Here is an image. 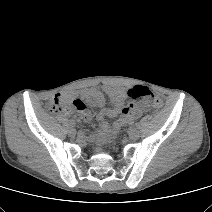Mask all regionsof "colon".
<instances>
[{"label": "colon", "instance_id": "5ec220e1", "mask_svg": "<svg viewBox=\"0 0 212 212\" xmlns=\"http://www.w3.org/2000/svg\"><path fill=\"white\" fill-rule=\"evenodd\" d=\"M128 96L132 99H143L151 102L154 107L162 108L163 102L158 97L154 96L150 89L146 86L137 85L128 90ZM70 106H73L77 110L83 109L85 106L84 104L79 101L75 100L73 102L63 100L60 97L56 96L53 101L49 105V109L54 112H62L69 109Z\"/></svg>", "mask_w": 212, "mask_h": 212}]
</instances>
